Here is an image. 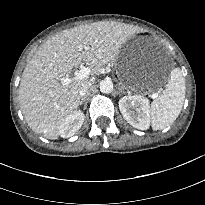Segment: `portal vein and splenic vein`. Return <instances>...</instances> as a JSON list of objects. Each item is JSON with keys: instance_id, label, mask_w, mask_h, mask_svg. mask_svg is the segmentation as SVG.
I'll return each mask as SVG.
<instances>
[{"instance_id": "1", "label": "portal vein and splenic vein", "mask_w": 205, "mask_h": 205, "mask_svg": "<svg viewBox=\"0 0 205 205\" xmlns=\"http://www.w3.org/2000/svg\"><path fill=\"white\" fill-rule=\"evenodd\" d=\"M82 50V48L80 49ZM91 73V69L89 67H83L80 69V71L72 78H69V77H65V78H62L61 79V82L63 84H69L73 81H76V80H82L84 78H86L88 75H90ZM157 96L156 93L152 94V97L155 98Z\"/></svg>"}]
</instances>
